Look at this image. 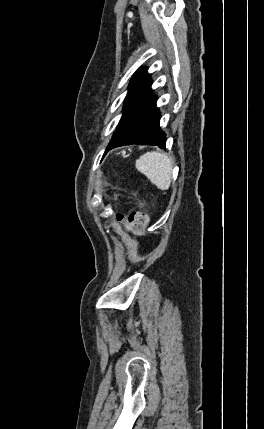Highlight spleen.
<instances>
[{"label": "spleen", "instance_id": "obj_1", "mask_svg": "<svg viewBox=\"0 0 264 429\" xmlns=\"http://www.w3.org/2000/svg\"><path fill=\"white\" fill-rule=\"evenodd\" d=\"M136 168L158 189H169L173 163L166 153L157 151L147 152L136 161Z\"/></svg>", "mask_w": 264, "mask_h": 429}]
</instances>
